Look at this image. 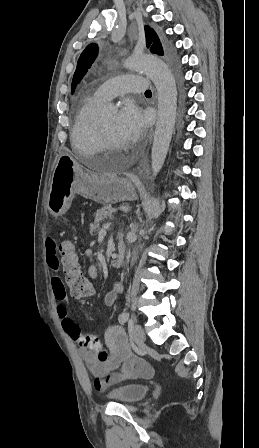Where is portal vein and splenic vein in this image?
<instances>
[{
    "instance_id": "portal-vein-and-splenic-vein-1",
    "label": "portal vein and splenic vein",
    "mask_w": 259,
    "mask_h": 448,
    "mask_svg": "<svg viewBox=\"0 0 259 448\" xmlns=\"http://www.w3.org/2000/svg\"><path fill=\"white\" fill-rule=\"evenodd\" d=\"M107 228H109V226H107V224H104L103 228H101L100 230V234H102V232H106Z\"/></svg>"
}]
</instances>
